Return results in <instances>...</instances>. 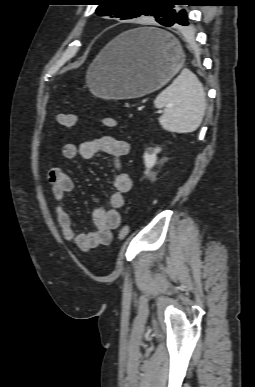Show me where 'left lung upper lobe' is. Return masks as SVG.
Wrapping results in <instances>:
<instances>
[{
  "label": "left lung upper lobe",
  "mask_w": 255,
  "mask_h": 387,
  "mask_svg": "<svg viewBox=\"0 0 255 387\" xmlns=\"http://www.w3.org/2000/svg\"><path fill=\"white\" fill-rule=\"evenodd\" d=\"M182 0H95L99 2L96 13L99 16H110L132 19L142 15L153 16L160 24H165L175 17L176 2Z\"/></svg>",
  "instance_id": "obj_1"
}]
</instances>
